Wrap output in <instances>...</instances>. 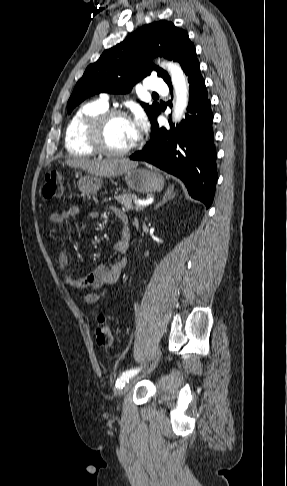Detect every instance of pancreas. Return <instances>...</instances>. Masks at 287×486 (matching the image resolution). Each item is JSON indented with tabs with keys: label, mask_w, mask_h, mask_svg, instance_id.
I'll list each match as a JSON object with an SVG mask.
<instances>
[{
	"label": "pancreas",
	"mask_w": 287,
	"mask_h": 486,
	"mask_svg": "<svg viewBox=\"0 0 287 486\" xmlns=\"http://www.w3.org/2000/svg\"><path fill=\"white\" fill-rule=\"evenodd\" d=\"M114 199L120 203L126 211L128 210H136L141 211L143 207L138 206L137 204H133V199H136V196L133 194L123 193L121 195H117Z\"/></svg>",
	"instance_id": "cf45deb5"
}]
</instances>
